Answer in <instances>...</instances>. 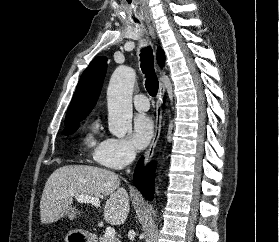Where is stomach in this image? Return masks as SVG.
<instances>
[{"label": "stomach", "mask_w": 279, "mask_h": 242, "mask_svg": "<svg viewBox=\"0 0 279 242\" xmlns=\"http://www.w3.org/2000/svg\"><path fill=\"white\" fill-rule=\"evenodd\" d=\"M90 234L83 230H72L66 235V242H91Z\"/></svg>", "instance_id": "stomach-1"}]
</instances>
